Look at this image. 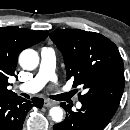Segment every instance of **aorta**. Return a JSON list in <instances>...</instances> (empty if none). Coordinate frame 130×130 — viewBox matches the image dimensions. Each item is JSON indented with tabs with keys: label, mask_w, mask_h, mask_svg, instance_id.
Segmentation results:
<instances>
[{
	"label": "aorta",
	"mask_w": 130,
	"mask_h": 130,
	"mask_svg": "<svg viewBox=\"0 0 130 130\" xmlns=\"http://www.w3.org/2000/svg\"><path fill=\"white\" fill-rule=\"evenodd\" d=\"M19 64L25 70H34L39 64L38 53L33 49H26L21 52L19 56ZM64 111L61 107H52L49 111V115L54 122L63 121Z\"/></svg>",
	"instance_id": "aorta-1"
}]
</instances>
